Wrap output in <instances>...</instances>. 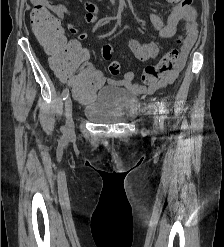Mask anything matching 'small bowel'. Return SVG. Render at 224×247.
<instances>
[{
    "instance_id": "1",
    "label": "small bowel",
    "mask_w": 224,
    "mask_h": 247,
    "mask_svg": "<svg viewBox=\"0 0 224 247\" xmlns=\"http://www.w3.org/2000/svg\"><path fill=\"white\" fill-rule=\"evenodd\" d=\"M169 4L173 5V9L169 14L167 21L164 22L163 19L156 13H151L149 19L153 27L158 31L160 37L171 38L175 35L177 26L181 21L186 23L185 26V40L181 48V54L175 63L173 69L163 75L159 80L150 84L148 87L134 83L135 74L132 71H127L121 81L118 83L125 87L129 92L136 96H143L146 94H152L155 91L166 87L167 85L173 83L179 75V72L183 68L187 55L192 48L196 36V11L192 7V0H166ZM35 6H44L52 8V10L57 14L59 19H64L65 16L70 15V12L63 4H50L48 0H31ZM99 14L95 10H88L84 16L86 24H93L97 21ZM68 30L71 34L76 36V41L79 43L80 40L86 38L87 33L85 31L79 30L71 24H68ZM129 47L136 56L137 59L141 61L155 60L157 59L160 49L158 45L153 41H142L136 37L129 40Z\"/></svg>"
}]
</instances>
